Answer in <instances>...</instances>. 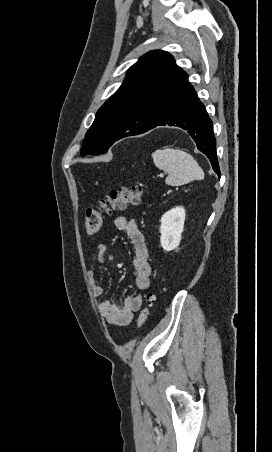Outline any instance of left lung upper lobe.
Here are the masks:
<instances>
[{
	"label": "left lung upper lobe",
	"mask_w": 272,
	"mask_h": 452,
	"mask_svg": "<svg viewBox=\"0 0 272 452\" xmlns=\"http://www.w3.org/2000/svg\"><path fill=\"white\" fill-rule=\"evenodd\" d=\"M187 77L169 53L145 54L129 68L123 84L96 113L81 155L103 154L115 141L146 130Z\"/></svg>",
	"instance_id": "1"
}]
</instances>
